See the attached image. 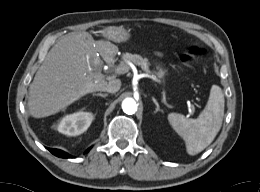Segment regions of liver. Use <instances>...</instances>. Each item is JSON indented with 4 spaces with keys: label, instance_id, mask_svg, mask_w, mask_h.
Returning <instances> with one entry per match:
<instances>
[{
    "label": "liver",
    "instance_id": "6515ba94",
    "mask_svg": "<svg viewBox=\"0 0 260 192\" xmlns=\"http://www.w3.org/2000/svg\"><path fill=\"white\" fill-rule=\"evenodd\" d=\"M114 28L102 30L103 36L112 40ZM93 44L89 33H70L50 49L29 88L28 107L33 117L53 115L88 93L102 91L107 81L97 52L106 60L117 48L109 42Z\"/></svg>",
    "mask_w": 260,
    "mask_h": 192
}]
</instances>
